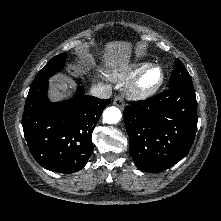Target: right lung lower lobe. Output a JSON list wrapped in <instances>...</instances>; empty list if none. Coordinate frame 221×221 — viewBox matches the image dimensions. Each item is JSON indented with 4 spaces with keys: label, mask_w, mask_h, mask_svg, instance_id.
<instances>
[{
    "label": "right lung lower lobe",
    "mask_w": 221,
    "mask_h": 221,
    "mask_svg": "<svg viewBox=\"0 0 221 221\" xmlns=\"http://www.w3.org/2000/svg\"><path fill=\"white\" fill-rule=\"evenodd\" d=\"M50 77L31 85L22 118L23 131L31 154L42 167L74 173L91 156L92 131L111 100L89 97L78 87L72 99L52 103L47 98Z\"/></svg>",
    "instance_id": "obj_1"
}]
</instances>
